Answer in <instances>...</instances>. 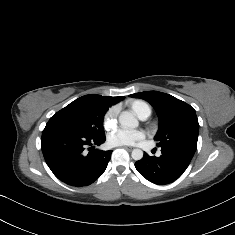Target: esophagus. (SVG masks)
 Wrapping results in <instances>:
<instances>
[{
  "label": "esophagus",
  "mask_w": 235,
  "mask_h": 235,
  "mask_svg": "<svg viewBox=\"0 0 235 235\" xmlns=\"http://www.w3.org/2000/svg\"><path fill=\"white\" fill-rule=\"evenodd\" d=\"M122 148H124V149H126L128 151L133 150V147H131V146H122Z\"/></svg>",
  "instance_id": "1"
}]
</instances>
